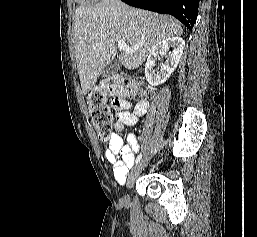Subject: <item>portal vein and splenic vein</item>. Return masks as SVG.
<instances>
[{"label": "portal vein and splenic vein", "instance_id": "obj_1", "mask_svg": "<svg viewBox=\"0 0 257 237\" xmlns=\"http://www.w3.org/2000/svg\"><path fill=\"white\" fill-rule=\"evenodd\" d=\"M117 43H118V48L120 50H130V47L125 43V41L118 40Z\"/></svg>", "mask_w": 257, "mask_h": 237}]
</instances>
